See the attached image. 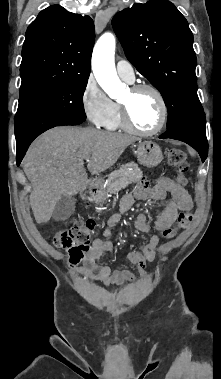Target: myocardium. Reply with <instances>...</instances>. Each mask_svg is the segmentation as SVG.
<instances>
[{
	"instance_id": "1",
	"label": "myocardium",
	"mask_w": 221,
	"mask_h": 379,
	"mask_svg": "<svg viewBox=\"0 0 221 379\" xmlns=\"http://www.w3.org/2000/svg\"><path fill=\"white\" fill-rule=\"evenodd\" d=\"M130 91L133 94H137V93H140L143 91H149V92L153 93L154 96L156 97L157 101H158V104H159L160 117H159V121H158L157 125L154 128H152L150 130L139 129L131 121L127 105L121 102L119 104V107H120V117H121V122H122L123 128L126 129L127 131L131 132V133H134V134H137L140 136H152V135L159 133L164 128V126L166 125V122L168 119V107H167L166 100H165L163 94L161 93V91L158 88H156L155 86L150 85V84L134 85L131 87Z\"/></svg>"
}]
</instances>
